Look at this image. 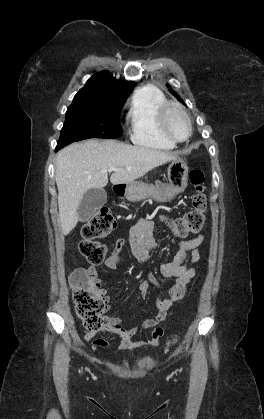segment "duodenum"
Returning <instances> with one entry per match:
<instances>
[{
	"label": "duodenum",
	"mask_w": 264,
	"mask_h": 419,
	"mask_svg": "<svg viewBox=\"0 0 264 419\" xmlns=\"http://www.w3.org/2000/svg\"><path fill=\"white\" fill-rule=\"evenodd\" d=\"M124 186H118L117 187V194L122 196L124 194Z\"/></svg>",
	"instance_id": "410a0bca"
}]
</instances>
